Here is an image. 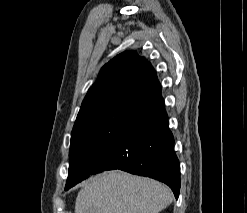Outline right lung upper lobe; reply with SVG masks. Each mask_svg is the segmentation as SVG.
Wrapping results in <instances>:
<instances>
[{"label":"right lung upper lobe","mask_w":247,"mask_h":213,"mask_svg":"<svg viewBox=\"0 0 247 213\" xmlns=\"http://www.w3.org/2000/svg\"><path fill=\"white\" fill-rule=\"evenodd\" d=\"M160 90L151 64L134 51L123 52L102 67L82 102L74 127L107 109L147 98Z\"/></svg>","instance_id":"obj_1"}]
</instances>
